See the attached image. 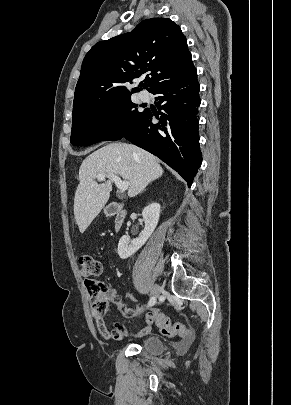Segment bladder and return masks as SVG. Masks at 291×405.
Here are the masks:
<instances>
[{
  "label": "bladder",
  "mask_w": 291,
  "mask_h": 405,
  "mask_svg": "<svg viewBox=\"0 0 291 405\" xmlns=\"http://www.w3.org/2000/svg\"><path fill=\"white\" fill-rule=\"evenodd\" d=\"M140 347L142 350L151 355H160L165 350L164 342L158 336L154 335H150L142 339L140 342Z\"/></svg>",
  "instance_id": "bladder-1"
}]
</instances>
